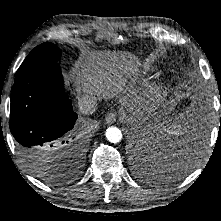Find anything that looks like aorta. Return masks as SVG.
I'll list each match as a JSON object with an SVG mask.
<instances>
[{
	"label": "aorta",
	"instance_id": "762f6f07",
	"mask_svg": "<svg viewBox=\"0 0 221 221\" xmlns=\"http://www.w3.org/2000/svg\"><path fill=\"white\" fill-rule=\"evenodd\" d=\"M106 138L111 143H118L122 139V132L117 127H109L106 130Z\"/></svg>",
	"mask_w": 221,
	"mask_h": 221
}]
</instances>
